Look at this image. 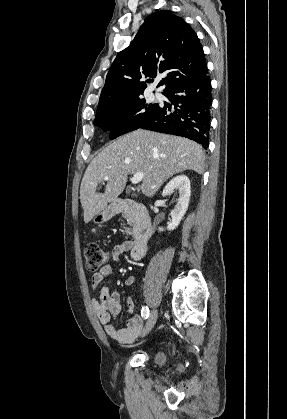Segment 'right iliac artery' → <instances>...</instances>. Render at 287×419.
Returning a JSON list of instances; mask_svg holds the SVG:
<instances>
[{
	"mask_svg": "<svg viewBox=\"0 0 287 419\" xmlns=\"http://www.w3.org/2000/svg\"><path fill=\"white\" fill-rule=\"evenodd\" d=\"M141 315L144 319L149 317V308L147 306L142 307Z\"/></svg>",
	"mask_w": 287,
	"mask_h": 419,
	"instance_id": "obj_1",
	"label": "right iliac artery"
}]
</instances>
